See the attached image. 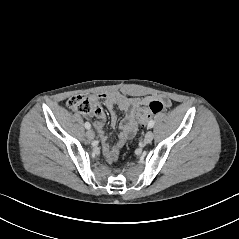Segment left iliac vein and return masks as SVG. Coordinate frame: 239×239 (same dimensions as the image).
I'll return each instance as SVG.
<instances>
[{
  "instance_id": "left-iliac-vein-1",
  "label": "left iliac vein",
  "mask_w": 239,
  "mask_h": 239,
  "mask_svg": "<svg viewBox=\"0 0 239 239\" xmlns=\"http://www.w3.org/2000/svg\"><path fill=\"white\" fill-rule=\"evenodd\" d=\"M154 134L151 130H149L144 137V143L149 144L153 140Z\"/></svg>"
}]
</instances>
